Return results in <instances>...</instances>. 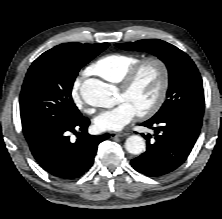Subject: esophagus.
<instances>
[{"mask_svg": "<svg viewBox=\"0 0 222 219\" xmlns=\"http://www.w3.org/2000/svg\"><path fill=\"white\" fill-rule=\"evenodd\" d=\"M110 137L111 138H116V137H122V136H125L127 135L128 133L126 132H110Z\"/></svg>", "mask_w": 222, "mask_h": 219, "instance_id": "34e87169", "label": "esophagus"}]
</instances>
